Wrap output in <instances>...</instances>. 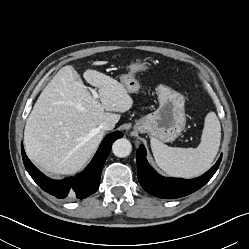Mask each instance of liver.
Instances as JSON below:
<instances>
[{"mask_svg":"<svg viewBox=\"0 0 249 249\" xmlns=\"http://www.w3.org/2000/svg\"><path fill=\"white\" fill-rule=\"evenodd\" d=\"M97 61L93 65H104ZM84 79L99 88L94 99L73 66L61 68L37 99L26 121L24 145L28 157L55 176L78 172L99 146L102 122L113 128L133 99L124 85L96 70Z\"/></svg>","mask_w":249,"mask_h":249,"instance_id":"liver-1","label":"liver"}]
</instances>
